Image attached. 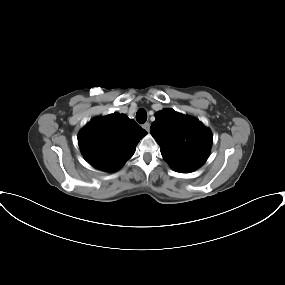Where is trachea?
<instances>
[{
    "label": "trachea",
    "mask_w": 285,
    "mask_h": 285,
    "mask_svg": "<svg viewBox=\"0 0 285 285\" xmlns=\"http://www.w3.org/2000/svg\"><path fill=\"white\" fill-rule=\"evenodd\" d=\"M136 120L140 123L143 124L147 120V113L144 109H139L136 113Z\"/></svg>",
    "instance_id": "trachea-1"
}]
</instances>
